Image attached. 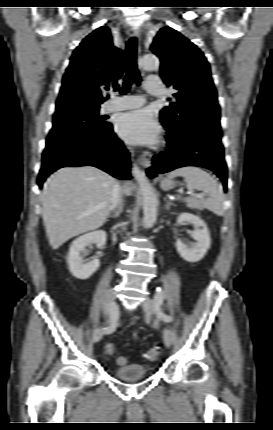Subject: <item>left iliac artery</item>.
Wrapping results in <instances>:
<instances>
[{
	"mask_svg": "<svg viewBox=\"0 0 273 430\" xmlns=\"http://www.w3.org/2000/svg\"><path fill=\"white\" fill-rule=\"evenodd\" d=\"M163 300H164V292L160 287H158V288H156V293L154 296V303L157 307V316H158V318H160L164 322H171L172 317L170 315L165 314L161 310V305L163 303Z\"/></svg>",
	"mask_w": 273,
	"mask_h": 430,
	"instance_id": "44dca946",
	"label": "left iliac artery"
}]
</instances>
